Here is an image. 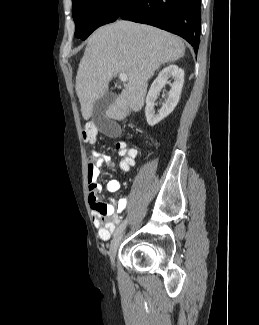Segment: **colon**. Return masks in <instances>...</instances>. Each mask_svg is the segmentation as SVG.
Instances as JSON below:
<instances>
[{
  "label": "colon",
  "mask_w": 259,
  "mask_h": 325,
  "mask_svg": "<svg viewBox=\"0 0 259 325\" xmlns=\"http://www.w3.org/2000/svg\"><path fill=\"white\" fill-rule=\"evenodd\" d=\"M82 135L85 141H94L97 135L96 126L92 123L87 124L83 129ZM117 147L126 155L131 153V148L126 149L123 144H118Z\"/></svg>",
  "instance_id": "colon-1"
}]
</instances>
